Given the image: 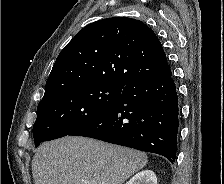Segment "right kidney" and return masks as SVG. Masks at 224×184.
Instances as JSON below:
<instances>
[{
    "label": "right kidney",
    "instance_id": "obj_1",
    "mask_svg": "<svg viewBox=\"0 0 224 184\" xmlns=\"http://www.w3.org/2000/svg\"><path fill=\"white\" fill-rule=\"evenodd\" d=\"M126 184H157V177L151 170H143L134 175Z\"/></svg>",
    "mask_w": 224,
    "mask_h": 184
}]
</instances>
